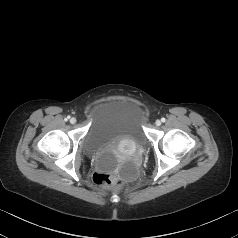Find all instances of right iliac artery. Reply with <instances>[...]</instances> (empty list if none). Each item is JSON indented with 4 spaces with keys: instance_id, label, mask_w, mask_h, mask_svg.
I'll return each mask as SVG.
<instances>
[{
    "instance_id": "right-iliac-artery-1",
    "label": "right iliac artery",
    "mask_w": 238,
    "mask_h": 238,
    "mask_svg": "<svg viewBox=\"0 0 238 238\" xmlns=\"http://www.w3.org/2000/svg\"><path fill=\"white\" fill-rule=\"evenodd\" d=\"M70 119V116H67L66 120Z\"/></svg>"
}]
</instances>
